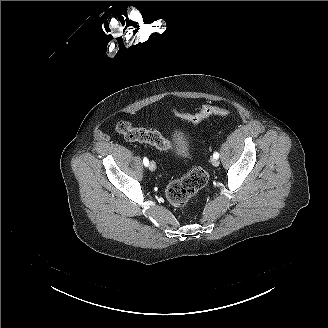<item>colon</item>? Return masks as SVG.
I'll list each match as a JSON object with an SVG mask.
<instances>
[{"instance_id":"1","label":"colon","mask_w":328,"mask_h":328,"mask_svg":"<svg viewBox=\"0 0 328 328\" xmlns=\"http://www.w3.org/2000/svg\"><path fill=\"white\" fill-rule=\"evenodd\" d=\"M174 112L178 117L190 123H200L212 115L226 116L229 113L226 108L209 104L204 105L196 113L184 112L178 108H175ZM116 130L129 141L147 143L160 150L173 148L172 142L159 132L135 127L126 120L118 122ZM207 182V172L201 167H194L184 177L172 181L168 185L166 190L167 199L174 208L182 209L186 206L188 200L202 189Z\"/></svg>"}]
</instances>
